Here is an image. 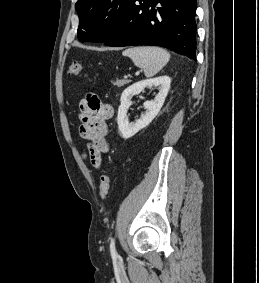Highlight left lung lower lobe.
Returning <instances> with one entry per match:
<instances>
[{
  "mask_svg": "<svg viewBox=\"0 0 259 283\" xmlns=\"http://www.w3.org/2000/svg\"><path fill=\"white\" fill-rule=\"evenodd\" d=\"M196 0H132L107 46L155 45L195 60Z\"/></svg>",
  "mask_w": 259,
  "mask_h": 283,
  "instance_id": "obj_1",
  "label": "left lung lower lobe"
}]
</instances>
